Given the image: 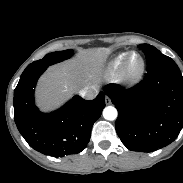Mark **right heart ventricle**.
I'll return each mask as SVG.
<instances>
[{"instance_id": "right-heart-ventricle-1", "label": "right heart ventricle", "mask_w": 183, "mask_h": 183, "mask_svg": "<svg viewBox=\"0 0 183 183\" xmlns=\"http://www.w3.org/2000/svg\"><path fill=\"white\" fill-rule=\"evenodd\" d=\"M127 52H123V53H120L118 54L112 61L111 65H112V68L113 69H118L123 61L125 60L126 56H127Z\"/></svg>"}]
</instances>
